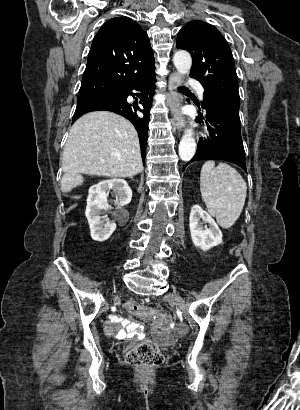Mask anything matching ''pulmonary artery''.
Returning a JSON list of instances; mask_svg holds the SVG:
<instances>
[{"instance_id": "e3ab8cb5", "label": "pulmonary artery", "mask_w": 300, "mask_h": 410, "mask_svg": "<svg viewBox=\"0 0 300 410\" xmlns=\"http://www.w3.org/2000/svg\"><path fill=\"white\" fill-rule=\"evenodd\" d=\"M189 85L194 87L197 91V93L202 97L204 93L203 87L195 80V79H190L189 80Z\"/></svg>"}]
</instances>
